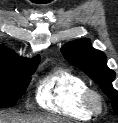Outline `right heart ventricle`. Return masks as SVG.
Wrapping results in <instances>:
<instances>
[{
    "mask_svg": "<svg viewBox=\"0 0 118 123\" xmlns=\"http://www.w3.org/2000/svg\"><path fill=\"white\" fill-rule=\"evenodd\" d=\"M89 89L87 82L78 74L65 68H55L40 81L36 101L45 110L59 115L90 120L82 103V96Z\"/></svg>",
    "mask_w": 118,
    "mask_h": 123,
    "instance_id": "1",
    "label": "right heart ventricle"
}]
</instances>
